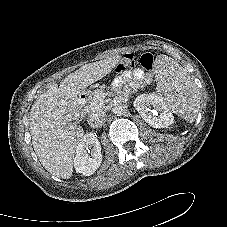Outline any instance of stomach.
I'll list each match as a JSON object with an SVG mask.
<instances>
[{
	"label": "stomach",
	"instance_id": "0dacf381",
	"mask_svg": "<svg viewBox=\"0 0 227 227\" xmlns=\"http://www.w3.org/2000/svg\"><path fill=\"white\" fill-rule=\"evenodd\" d=\"M83 94L89 97V92H83Z\"/></svg>",
	"mask_w": 227,
	"mask_h": 227
}]
</instances>
